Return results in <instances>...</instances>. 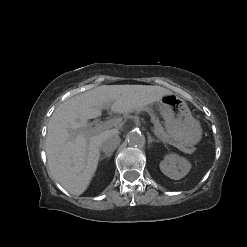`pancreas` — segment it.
<instances>
[{
	"label": "pancreas",
	"instance_id": "1",
	"mask_svg": "<svg viewBox=\"0 0 247 247\" xmlns=\"http://www.w3.org/2000/svg\"><path fill=\"white\" fill-rule=\"evenodd\" d=\"M150 112V111H149ZM152 122L154 124V130L157 133V136L163 140V142H167L170 144L175 145L176 147L180 148L181 150H183L186 153H192L193 149L188 148L180 143H177L175 141H173L170 137V135L168 133H166V131L164 130V128L161 126L160 122L158 119H155V117L152 115Z\"/></svg>",
	"mask_w": 247,
	"mask_h": 247
}]
</instances>
